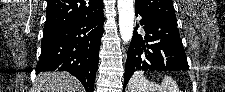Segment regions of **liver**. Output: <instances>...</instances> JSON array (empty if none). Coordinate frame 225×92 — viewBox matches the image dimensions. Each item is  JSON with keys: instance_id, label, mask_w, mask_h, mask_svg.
I'll list each match as a JSON object with an SVG mask.
<instances>
[{"instance_id": "1", "label": "liver", "mask_w": 225, "mask_h": 92, "mask_svg": "<svg viewBox=\"0 0 225 92\" xmlns=\"http://www.w3.org/2000/svg\"><path fill=\"white\" fill-rule=\"evenodd\" d=\"M80 82L65 72H42L37 75L33 92H83Z\"/></svg>"}]
</instances>
